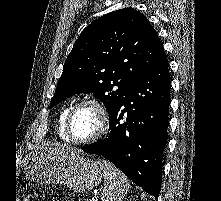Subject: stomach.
<instances>
[{"label": "stomach", "mask_w": 221, "mask_h": 201, "mask_svg": "<svg viewBox=\"0 0 221 201\" xmlns=\"http://www.w3.org/2000/svg\"><path fill=\"white\" fill-rule=\"evenodd\" d=\"M23 173L28 180L62 184L75 192H86L98 186L103 174L93 160L72 150L58 152L51 148L30 154Z\"/></svg>", "instance_id": "stomach-1"}]
</instances>
